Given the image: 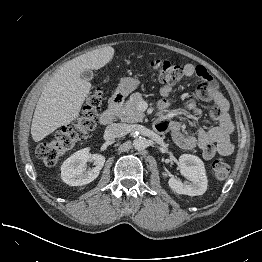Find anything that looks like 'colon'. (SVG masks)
Listing matches in <instances>:
<instances>
[{"mask_svg": "<svg viewBox=\"0 0 262 262\" xmlns=\"http://www.w3.org/2000/svg\"><path fill=\"white\" fill-rule=\"evenodd\" d=\"M146 67L152 71L156 80L164 85H176L184 80V69L181 66L163 60H151ZM101 103V94L93 93L87 99L82 115L74 122L63 127L59 136L50 141L42 142L37 147L38 157L47 165L58 162L95 127V117ZM230 172V165L225 155L213 163V173L216 179H225Z\"/></svg>", "mask_w": 262, "mask_h": 262, "instance_id": "5ec220e1", "label": "colon"}]
</instances>
